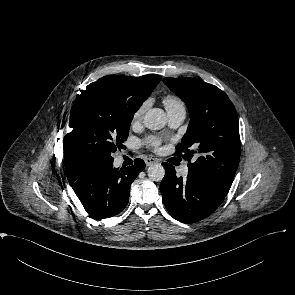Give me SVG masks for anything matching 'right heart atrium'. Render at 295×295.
<instances>
[{
  "label": "right heart atrium",
  "instance_id": "obj_1",
  "mask_svg": "<svg viewBox=\"0 0 295 295\" xmlns=\"http://www.w3.org/2000/svg\"><path fill=\"white\" fill-rule=\"evenodd\" d=\"M150 102H151L150 99H146L137 107V109L134 111L133 116H132L133 123H137L142 119L145 111L147 110V108L150 105Z\"/></svg>",
  "mask_w": 295,
  "mask_h": 295
}]
</instances>
